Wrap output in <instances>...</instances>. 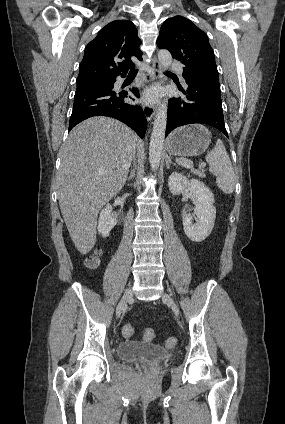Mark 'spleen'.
<instances>
[{
	"instance_id": "obj_1",
	"label": "spleen",
	"mask_w": 285,
	"mask_h": 424,
	"mask_svg": "<svg viewBox=\"0 0 285 424\" xmlns=\"http://www.w3.org/2000/svg\"><path fill=\"white\" fill-rule=\"evenodd\" d=\"M206 161L209 163V171L216 175L217 186L225 193L232 194L235 189L236 175L232 167L229 155L223 142L218 139L215 147L207 153ZM176 162L183 167H191L192 161L178 158Z\"/></svg>"
}]
</instances>
